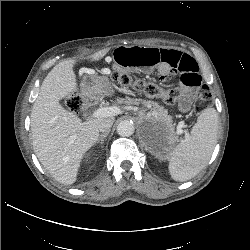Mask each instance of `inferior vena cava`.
<instances>
[{"label": "inferior vena cava", "mask_w": 250, "mask_h": 250, "mask_svg": "<svg viewBox=\"0 0 250 250\" xmlns=\"http://www.w3.org/2000/svg\"><path fill=\"white\" fill-rule=\"evenodd\" d=\"M114 119L113 118H105L100 121L98 128L99 131L106 133L110 131L111 126L113 125Z\"/></svg>", "instance_id": "602c4592"}]
</instances>
